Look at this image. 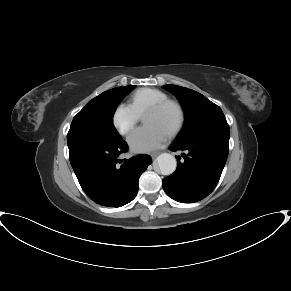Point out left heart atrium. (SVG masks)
<instances>
[{"label": "left heart atrium", "instance_id": "39dd6f15", "mask_svg": "<svg viewBox=\"0 0 291 291\" xmlns=\"http://www.w3.org/2000/svg\"><path fill=\"white\" fill-rule=\"evenodd\" d=\"M169 140V132L152 124L135 130L128 138L134 152H150L163 147Z\"/></svg>", "mask_w": 291, "mask_h": 291}]
</instances>
